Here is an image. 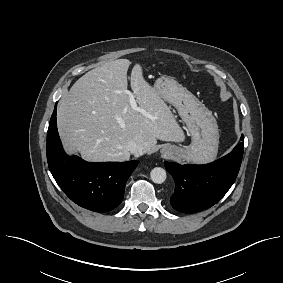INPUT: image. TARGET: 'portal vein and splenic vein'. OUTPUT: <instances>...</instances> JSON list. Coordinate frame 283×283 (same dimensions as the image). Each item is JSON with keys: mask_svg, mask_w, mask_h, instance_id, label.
<instances>
[{"mask_svg": "<svg viewBox=\"0 0 283 283\" xmlns=\"http://www.w3.org/2000/svg\"><path fill=\"white\" fill-rule=\"evenodd\" d=\"M126 93L129 95V103H130L131 108L137 112L146 114V112L143 109L137 106V102L135 100L133 93H131L129 90H127Z\"/></svg>", "mask_w": 283, "mask_h": 283, "instance_id": "portal-vein-and-splenic-vein-1", "label": "portal vein and splenic vein"}]
</instances>
